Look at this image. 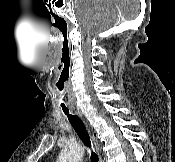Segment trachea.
Segmentation results:
<instances>
[{"label": "trachea", "mask_w": 175, "mask_h": 162, "mask_svg": "<svg viewBox=\"0 0 175 162\" xmlns=\"http://www.w3.org/2000/svg\"><path fill=\"white\" fill-rule=\"evenodd\" d=\"M62 110L65 113V115H67L70 124L74 128L75 132L77 133L81 141L84 143L86 147H88L91 150V156H90L91 162H98V156L92 150L91 140L82 120L76 115L69 114L68 108L62 107Z\"/></svg>", "instance_id": "obj_1"}]
</instances>
